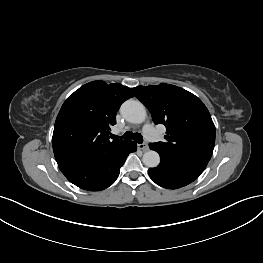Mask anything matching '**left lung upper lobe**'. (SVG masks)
<instances>
[{
    "label": "left lung upper lobe",
    "mask_w": 263,
    "mask_h": 263,
    "mask_svg": "<svg viewBox=\"0 0 263 263\" xmlns=\"http://www.w3.org/2000/svg\"><path fill=\"white\" fill-rule=\"evenodd\" d=\"M136 97L149 109L155 124H164L165 142L150 149L169 161L204 170L215 144V126L203 102L174 85L138 86Z\"/></svg>",
    "instance_id": "left-lung-upper-lobe-1"
}]
</instances>
